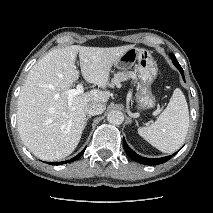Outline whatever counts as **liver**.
Listing matches in <instances>:
<instances>
[{"mask_svg":"<svg viewBox=\"0 0 213 213\" xmlns=\"http://www.w3.org/2000/svg\"><path fill=\"white\" fill-rule=\"evenodd\" d=\"M133 47L73 45L50 51L31 68L18 97L17 126L33 155L45 161L70 155L86 126V105L105 104L110 97L107 90L93 89L69 98L67 92L79 78L77 54L85 81L106 88L112 66Z\"/></svg>","mask_w":213,"mask_h":213,"instance_id":"6515ba94","label":"liver"}]
</instances>
